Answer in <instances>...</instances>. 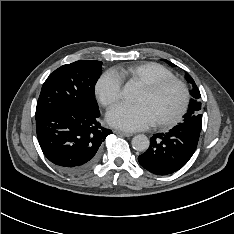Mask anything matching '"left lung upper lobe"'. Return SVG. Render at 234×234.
Segmentation results:
<instances>
[{"instance_id":"5c2ea615","label":"left lung upper lobe","mask_w":234,"mask_h":234,"mask_svg":"<svg viewBox=\"0 0 234 234\" xmlns=\"http://www.w3.org/2000/svg\"><path fill=\"white\" fill-rule=\"evenodd\" d=\"M169 65L175 66L173 63H171L168 60H165ZM186 79L189 83L193 85V89L191 90V100H190V105L187 113L184 115V120L179 123V125L192 129L197 132H201L202 128V114H201V94L199 92V89L197 88L194 80L192 77L188 74H186Z\"/></svg>"}]
</instances>
